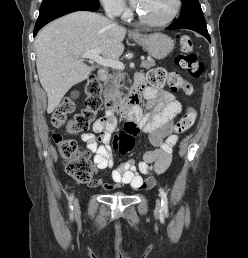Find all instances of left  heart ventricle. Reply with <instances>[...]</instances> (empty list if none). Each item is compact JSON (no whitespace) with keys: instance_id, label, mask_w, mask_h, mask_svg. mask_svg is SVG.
<instances>
[{"instance_id":"obj_1","label":"left heart ventricle","mask_w":248,"mask_h":258,"mask_svg":"<svg viewBox=\"0 0 248 258\" xmlns=\"http://www.w3.org/2000/svg\"><path fill=\"white\" fill-rule=\"evenodd\" d=\"M176 0H140L139 13L152 21L167 19L175 9Z\"/></svg>"}]
</instances>
